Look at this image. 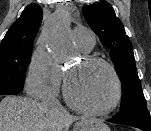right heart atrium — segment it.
I'll list each match as a JSON object with an SVG mask.
<instances>
[{
    "label": "right heart atrium",
    "mask_w": 151,
    "mask_h": 131,
    "mask_svg": "<svg viewBox=\"0 0 151 131\" xmlns=\"http://www.w3.org/2000/svg\"><path fill=\"white\" fill-rule=\"evenodd\" d=\"M62 73L51 55L36 49L28 64L25 87L34 98L45 99L56 94Z\"/></svg>",
    "instance_id": "d8ad5b80"
}]
</instances>
